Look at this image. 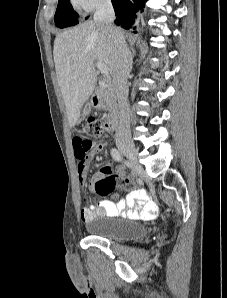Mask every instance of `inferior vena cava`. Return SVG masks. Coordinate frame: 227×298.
Returning a JSON list of instances; mask_svg holds the SVG:
<instances>
[{
    "mask_svg": "<svg viewBox=\"0 0 227 298\" xmlns=\"http://www.w3.org/2000/svg\"><path fill=\"white\" fill-rule=\"evenodd\" d=\"M114 20L115 13L111 0H102L94 13V22L108 33L113 42V86L119 106V124L115 139L120 141L130 138L127 78L132 69V55L123 35L114 27Z\"/></svg>",
    "mask_w": 227,
    "mask_h": 298,
    "instance_id": "inferior-vena-cava-1",
    "label": "inferior vena cava"
}]
</instances>
